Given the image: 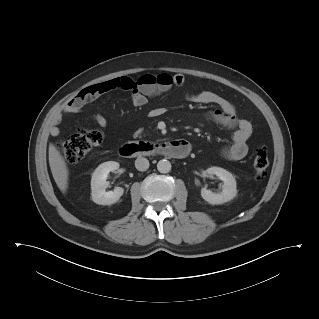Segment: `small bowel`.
<instances>
[{"instance_id":"obj_1","label":"small bowel","mask_w":319,"mask_h":319,"mask_svg":"<svg viewBox=\"0 0 319 319\" xmlns=\"http://www.w3.org/2000/svg\"><path fill=\"white\" fill-rule=\"evenodd\" d=\"M169 77L171 79L169 84H163L152 91H132V103L138 107L144 106L147 104L149 97L163 93L173 85L181 87L185 83V78L182 74H175L173 76L169 75ZM126 79L128 78H112L84 88L75 97L66 102L62 109V113L74 114L80 112L87 103L94 101L115 88H119V85ZM187 98L199 104H209L214 106V108L208 113V118L217 124L234 130L233 141L230 145L222 149V156L233 161L243 159L248 152L247 142L252 134V124L246 119L239 118L234 105L226 98L214 92L201 91L197 93H189L187 94ZM150 113L155 117L162 114V109L158 107L153 108ZM91 118L101 127H105L108 123L106 116L102 113H94ZM59 120L60 115H58L55 124L51 127V134L53 136H57L60 133V128L58 126Z\"/></svg>"}]
</instances>
